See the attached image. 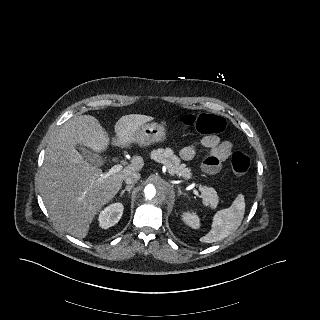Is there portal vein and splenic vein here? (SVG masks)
Here are the masks:
<instances>
[{"instance_id":"1","label":"portal vein and splenic vein","mask_w":320,"mask_h":320,"mask_svg":"<svg viewBox=\"0 0 320 320\" xmlns=\"http://www.w3.org/2000/svg\"><path fill=\"white\" fill-rule=\"evenodd\" d=\"M122 165L118 164V165H114L110 170L109 172L106 173V176H109V175H112L114 173H117L119 171L122 170ZM193 193L197 196V197H201L199 192L197 190H193Z\"/></svg>"}]
</instances>
